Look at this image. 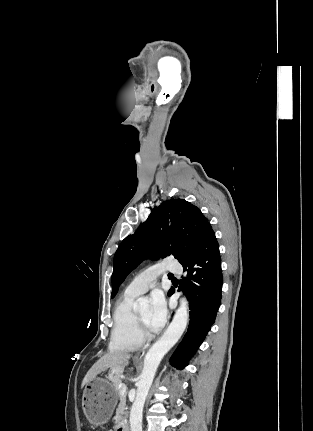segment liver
<instances>
[{"label":"liver","instance_id":"1","mask_svg":"<svg viewBox=\"0 0 313 431\" xmlns=\"http://www.w3.org/2000/svg\"><path fill=\"white\" fill-rule=\"evenodd\" d=\"M130 357L131 355L126 352H110L105 354L89 369L82 381L81 387L108 368L111 370L110 376L121 374L124 368L129 364Z\"/></svg>","mask_w":313,"mask_h":431}]
</instances>
